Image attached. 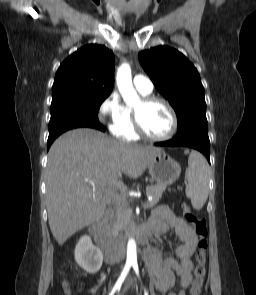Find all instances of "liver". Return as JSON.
<instances>
[{
	"instance_id": "6515ba94",
	"label": "liver",
	"mask_w": 256,
	"mask_h": 295,
	"mask_svg": "<svg viewBox=\"0 0 256 295\" xmlns=\"http://www.w3.org/2000/svg\"><path fill=\"white\" fill-rule=\"evenodd\" d=\"M159 152L88 128L55 140L48 153L46 199L49 226L58 244L100 220L114 190H127L119 180L121 174L138 178Z\"/></svg>"
}]
</instances>
